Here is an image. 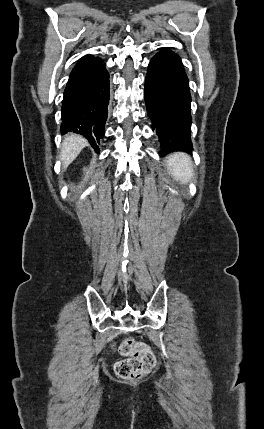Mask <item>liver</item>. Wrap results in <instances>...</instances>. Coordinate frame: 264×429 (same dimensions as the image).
<instances>
[{"label": "liver", "mask_w": 264, "mask_h": 429, "mask_svg": "<svg viewBox=\"0 0 264 429\" xmlns=\"http://www.w3.org/2000/svg\"><path fill=\"white\" fill-rule=\"evenodd\" d=\"M87 144V140L80 135L70 134L64 137L60 154L64 169L76 159Z\"/></svg>", "instance_id": "6515ba94"}]
</instances>
